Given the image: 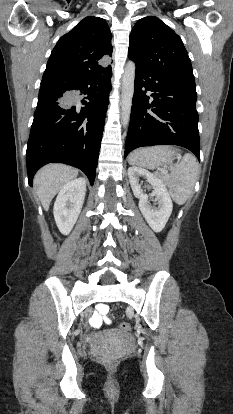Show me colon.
I'll use <instances>...</instances> for the list:
<instances>
[{"mask_svg":"<svg viewBox=\"0 0 233 414\" xmlns=\"http://www.w3.org/2000/svg\"><path fill=\"white\" fill-rule=\"evenodd\" d=\"M119 328L123 332H128L131 330V325L128 322H121ZM100 361L107 366H111L114 363V360L107 356H101Z\"/></svg>","mask_w":233,"mask_h":414,"instance_id":"1","label":"colon"}]
</instances>
